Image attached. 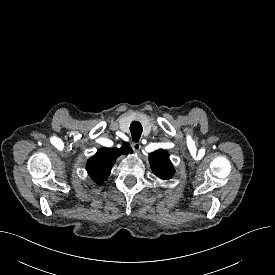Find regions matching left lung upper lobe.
<instances>
[{
  "label": "left lung upper lobe",
  "mask_w": 275,
  "mask_h": 275,
  "mask_svg": "<svg viewBox=\"0 0 275 275\" xmlns=\"http://www.w3.org/2000/svg\"><path fill=\"white\" fill-rule=\"evenodd\" d=\"M149 162L153 173L162 180L173 177L175 170L169 159V154L159 149L149 155Z\"/></svg>",
  "instance_id": "obj_1"
}]
</instances>
